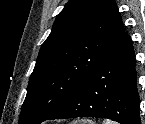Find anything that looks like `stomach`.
<instances>
[{
    "instance_id": "stomach-1",
    "label": "stomach",
    "mask_w": 145,
    "mask_h": 124,
    "mask_svg": "<svg viewBox=\"0 0 145 124\" xmlns=\"http://www.w3.org/2000/svg\"><path fill=\"white\" fill-rule=\"evenodd\" d=\"M84 124H93L91 121H84Z\"/></svg>"
}]
</instances>
